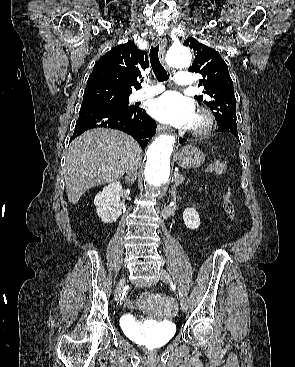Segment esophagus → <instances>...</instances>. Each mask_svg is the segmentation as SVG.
Returning <instances> with one entry per match:
<instances>
[{
  "instance_id": "obj_1",
  "label": "esophagus",
  "mask_w": 295,
  "mask_h": 367,
  "mask_svg": "<svg viewBox=\"0 0 295 367\" xmlns=\"http://www.w3.org/2000/svg\"><path fill=\"white\" fill-rule=\"evenodd\" d=\"M156 44H160L159 57H160V60L165 64V51H166V44H167L166 38L164 36H159L158 38H156ZM158 130L160 132H164L167 130V128L165 126H159Z\"/></svg>"
}]
</instances>
